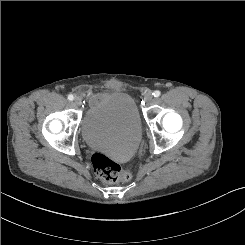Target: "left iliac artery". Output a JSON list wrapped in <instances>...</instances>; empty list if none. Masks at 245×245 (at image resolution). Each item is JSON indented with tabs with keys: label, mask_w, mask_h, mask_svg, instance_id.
I'll list each match as a JSON object with an SVG mask.
<instances>
[{
	"label": "left iliac artery",
	"mask_w": 245,
	"mask_h": 245,
	"mask_svg": "<svg viewBox=\"0 0 245 245\" xmlns=\"http://www.w3.org/2000/svg\"><path fill=\"white\" fill-rule=\"evenodd\" d=\"M152 94L154 97H159L161 95V92L159 90H156Z\"/></svg>",
	"instance_id": "1"
}]
</instances>
